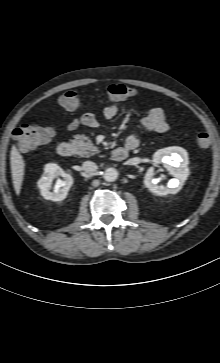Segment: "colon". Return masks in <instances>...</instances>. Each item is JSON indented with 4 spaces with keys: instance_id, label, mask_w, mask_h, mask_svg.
I'll list each match as a JSON object with an SVG mask.
<instances>
[{
    "instance_id": "5ec220e1",
    "label": "colon",
    "mask_w": 220,
    "mask_h": 363,
    "mask_svg": "<svg viewBox=\"0 0 220 363\" xmlns=\"http://www.w3.org/2000/svg\"><path fill=\"white\" fill-rule=\"evenodd\" d=\"M137 94L136 88L122 83L112 84L106 89L107 98L111 101L128 99ZM58 103L65 109H76L80 104V95L75 90H68L59 97ZM13 135L17 147L21 151H28L50 141L54 136V131L48 126L27 121L20 124L14 130ZM194 142L199 147H207L210 142L209 135L204 131H198L194 134Z\"/></svg>"
}]
</instances>
